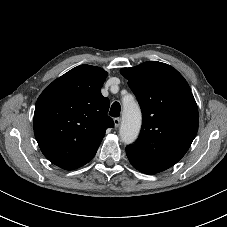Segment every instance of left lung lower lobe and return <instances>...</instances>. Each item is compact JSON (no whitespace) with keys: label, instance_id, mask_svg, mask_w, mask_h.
I'll return each instance as SVG.
<instances>
[{"label":"left lung lower lobe","instance_id":"0a47b994","mask_svg":"<svg viewBox=\"0 0 227 227\" xmlns=\"http://www.w3.org/2000/svg\"><path fill=\"white\" fill-rule=\"evenodd\" d=\"M139 171H141V170H139ZM141 172L146 173V174H155V173L145 172V171H141Z\"/></svg>","mask_w":227,"mask_h":227}]
</instances>
